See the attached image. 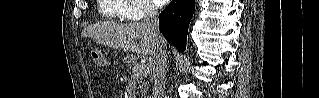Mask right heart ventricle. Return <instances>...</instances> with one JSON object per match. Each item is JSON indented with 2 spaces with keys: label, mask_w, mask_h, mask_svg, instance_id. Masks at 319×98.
Listing matches in <instances>:
<instances>
[{
  "label": "right heart ventricle",
  "mask_w": 319,
  "mask_h": 98,
  "mask_svg": "<svg viewBox=\"0 0 319 98\" xmlns=\"http://www.w3.org/2000/svg\"><path fill=\"white\" fill-rule=\"evenodd\" d=\"M129 8L127 0H100V13L107 19H120Z\"/></svg>",
  "instance_id": "e07e8e85"
}]
</instances>
